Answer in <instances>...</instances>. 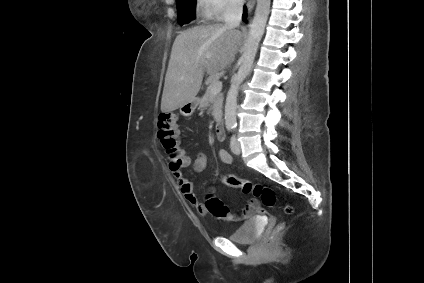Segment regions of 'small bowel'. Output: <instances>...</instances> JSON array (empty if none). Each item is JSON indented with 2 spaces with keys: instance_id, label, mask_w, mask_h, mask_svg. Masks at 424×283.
Here are the masks:
<instances>
[{
  "instance_id": "c3829d8e",
  "label": "small bowel",
  "mask_w": 424,
  "mask_h": 283,
  "mask_svg": "<svg viewBox=\"0 0 424 283\" xmlns=\"http://www.w3.org/2000/svg\"><path fill=\"white\" fill-rule=\"evenodd\" d=\"M223 139H224V135H223ZM218 157L223 164H226V165L232 164V161H233L232 156L226 150L224 149L219 150ZM206 163H207V158L205 154L203 153H199L193 162H191L190 158L188 157V165L191 164L192 170L194 173H201L205 169ZM172 173L176 180L178 188L180 192L182 193V195L184 196L185 200L191 206H193L199 214L205 215L207 213V209L205 207V204L196 197L194 193L193 183L187 177H185L181 169L177 171H172Z\"/></svg>"
}]
</instances>
